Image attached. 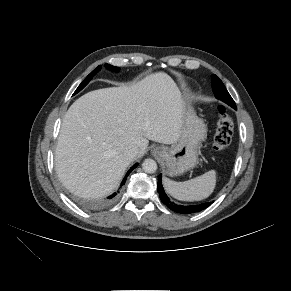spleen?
I'll list each match as a JSON object with an SVG mask.
<instances>
[{
	"mask_svg": "<svg viewBox=\"0 0 291 291\" xmlns=\"http://www.w3.org/2000/svg\"><path fill=\"white\" fill-rule=\"evenodd\" d=\"M168 194L181 201H200L209 197L215 189L216 171L210 170L201 176L185 182L163 179Z\"/></svg>",
	"mask_w": 291,
	"mask_h": 291,
	"instance_id": "obj_1",
	"label": "spleen"
}]
</instances>
